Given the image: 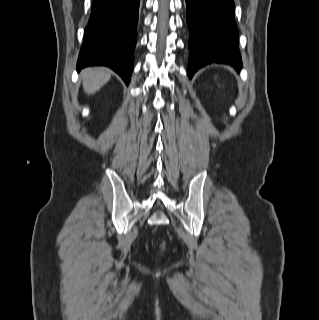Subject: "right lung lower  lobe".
Masks as SVG:
<instances>
[{
    "mask_svg": "<svg viewBox=\"0 0 319 320\" xmlns=\"http://www.w3.org/2000/svg\"><path fill=\"white\" fill-rule=\"evenodd\" d=\"M140 0H92L77 69L104 65L130 82Z\"/></svg>",
    "mask_w": 319,
    "mask_h": 320,
    "instance_id": "right-lung-lower-lobe-1",
    "label": "right lung lower lobe"
}]
</instances>
